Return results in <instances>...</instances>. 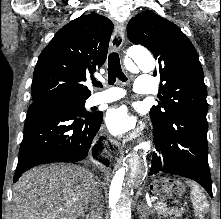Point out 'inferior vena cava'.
<instances>
[{"label": "inferior vena cava", "instance_id": "1", "mask_svg": "<svg viewBox=\"0 0 221 219\" xmlns=\"http://www.w3.org/2000/svg\"><path fill=\"white\" fill-rule=\"evenodd\" d=\"M98 178L97 176L95 177ZM102 181L101 180H94L93 187H92V194L89 200V219H102Z\"/></svg>", "mask_w": 221, "mask_h": 219}]
</instances>
